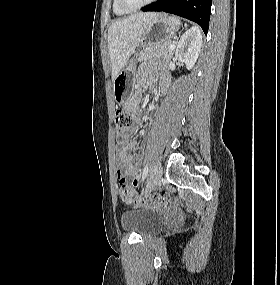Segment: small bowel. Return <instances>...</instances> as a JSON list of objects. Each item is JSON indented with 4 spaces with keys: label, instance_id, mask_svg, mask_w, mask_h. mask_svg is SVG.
I'll list each match as a JSON object with an SVG mask.
<instances>
[{
    "label": "small bowel",
    "instance_id": "1",
    "mask_svg": "<svg viewBox=\"0 0 280 285\" xmlns=\"http://www.w3.org/2000/svg\"><path fill=\"white\" fill-rule=\"evenodd\" d=\"M144 81H148L146 77ZM158 84L162 91H164L169 84V76L162 74L158 78ZM124 110L131 113L134 116L138 114V107L136 103H130L124 106ZM136 142L128 139L127 134H123L118 138V168L117 175L119 181L122 183L128 179L131 180V184L136 187L139 184L140 173L137 165L134 163L132 157L129 155L130 151L136 148Z\"/></svg>",
    "mask_w": 280,
    "mask_h": 285
}]
</instances>
